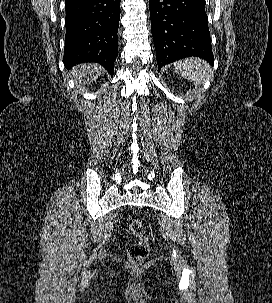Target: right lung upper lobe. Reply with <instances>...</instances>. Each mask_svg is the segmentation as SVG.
Instances as JSON below:
<instances>
[{
    "label": "right lung upper lobe",
    "mask_w": 272,
    "mask_h": 303,
    "mask_svg": "<svg viewBox=\"0 0 272 303\" xmlns=\"http://www.w3.org/2000/svg\"><path fill=\"white\" fill-rule=\"evenodd\" d=\"M69 1H72V0H66V2H69Z\"/></svg>",
    "instance_id": "cb5924a9"
}]
</instances>
